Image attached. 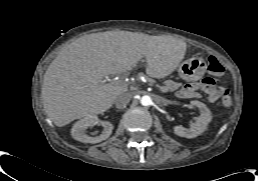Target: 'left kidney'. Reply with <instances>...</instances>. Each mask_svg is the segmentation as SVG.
<instances>
[{
	"instance_id": "1",
	"label": "left kidney",
	"mask_w": 258,
	"mask_h": 181,
	"mask_svg": "<svg viewBox=\"0 0 258 181\" xmlns=\"http://www.w3.org/2000/svg\"><path fill=\"white\" fill-rule=\"evenodd\" d=\"M190 103L191 106L197 107L200 110L201 115L190 128H184L183 126H175L173 128L174 133L180 137L194 138L199 136L207 129V125L212 120L211 112L204 103L197 100H193Z\"/></svg>"
}]
</instances>
